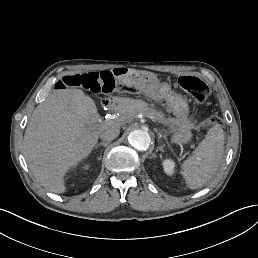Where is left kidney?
Here are the masks:
<instances>
[{
  "label": "left kidney",
  "mask_w": 258,
  "mask_h": 258,
  "mask_svg": "<svg viewBox=\"0 0 258 258\" xmlns=\"http://www.w3.org/2000/svg\"><path fill=\"white\" fill-rule=\"evenodd\" d=\"M163 168H164V172L169 175L172 176L174 174V168H175V163L173 160L171 159H166L162 162Z\"/></svg>",
  "instance_id": "1"
}]
</instances>
